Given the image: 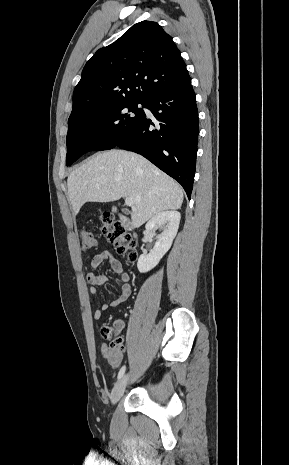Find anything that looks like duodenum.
<instances>
[{
    "instance_id": "duodenum-1",
    "label": "duodenum",
    "mask_w": 289,
    "mask_h": 465,
    "mask_svg": "<svg viewBox=\"0 0 289 465\" xmlns=\"http://www.w3.org/2000/svg\"><path fill=\"white\" fill-rule=\"evenodd\" d=\"M122 221H123V224L125 225V227L131 229V226H130V222L128 221L127 218H122Z\"/></svg>"
}]
</instances>
